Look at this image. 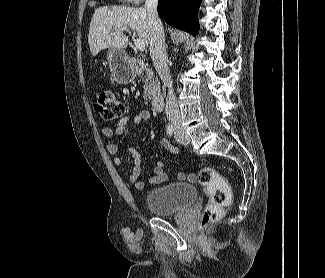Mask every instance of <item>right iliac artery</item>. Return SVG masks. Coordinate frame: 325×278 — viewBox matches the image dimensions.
<instances>
[{"label":"right iliac artery","mask_w":325,"mask_h":278,"mask_svg":"<svg viewBox=\"0 0 325 278\" xmlns=\"http://www.w3.org/2000/svg\"><path fill=\"white\" fill-rule=\"evenodd\" d=\"M174 130H175V128H174L173 125H168V126H167L166 131H167V134H168L169 136H171V135L174 133Z\"/></svg>","instance_id":"1"}]
</instances>
